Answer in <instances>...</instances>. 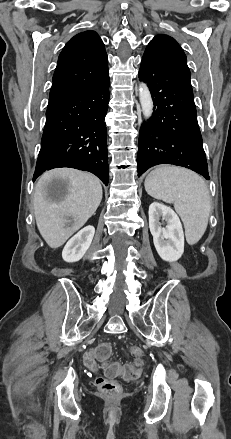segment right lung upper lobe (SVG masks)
I'll list each match as a JSON object with an SVG mask.
<instances>
[{
  "instance_id": "cb5924a9",
  "label": "right lung upper lobe",
  "mask_w": 231,
  "mask_h": 439,
  "mask_svg": "<svg viewBox=\"0 0 231 439\" xmlns=\"http://www.w3.org/2000/svg\"><path fill=\"white\" fill-rule=\"evenodd\" d=\"M108 75V59L101 38L90 30L79 33L70 39L59 55L49 104L97 83Z\"/></svg>"
}]
</instances>
